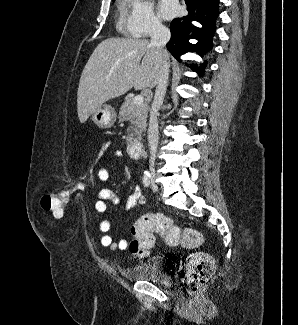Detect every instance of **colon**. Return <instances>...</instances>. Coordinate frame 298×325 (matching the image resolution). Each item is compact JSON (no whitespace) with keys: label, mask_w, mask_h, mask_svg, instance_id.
Here are the masks:
<instances>
[{"label":"colon","mask_w":298,"mask_h":325,"mask_svg":"<svg viewBox=\"0 0 298 325\" xmlns=\"http://www.w3.org/2000/svg\"><path fill=\"white\" fill-rule=\"evenodd\" d=\"M86 187L87 184L82 179L68 188L47 192L41 198V207L52 212L54 217L61 218L70 196ZM154 232L159 234L169 246L191 249L203 243V236L196 229L179 228L163 215H145L132 227L133 240L129 244L130 252L138 257L148 256L154 246ZM214 269L215 263L212 257L201 252L192 253L182 267L181 278L190 292H196L208 282Z\"/></svg>","instance_id":"5ec220e1"}]
</instances>
